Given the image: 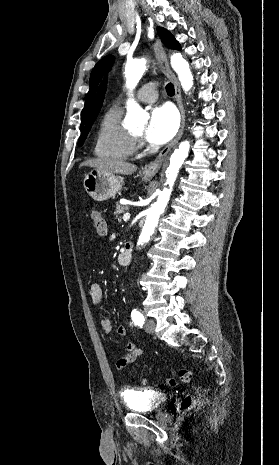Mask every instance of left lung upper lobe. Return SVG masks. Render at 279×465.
<instances>
[{"instance_id":"1","label":"left lung upper lobe","mask_w":279,"mask_h":465,"mask_svg":"<svg viewBox=\"0 0 279 465\" xmlns=\"http://www.w3.org/2000/svg\"><path fill=\"white\" fill-rule=\"evenodd\" d=\"M157 31H158V34L161 36V40L165 44L166 47L171 48V49H178V50L181 49L179 43L175 40L174 36L170 32H168L166 29L161 28V27H158ZM112 64H113V57L106 56L103 59H101L93 68L91 76H90V80H89L90 89H89V92L87 93L85 106L81 114V126H83L89 114V110L92 105L93 98L95 96V92H96L98 83L101 80V77L105 71L111 68Z\"/></svg>"}]
</instances>
